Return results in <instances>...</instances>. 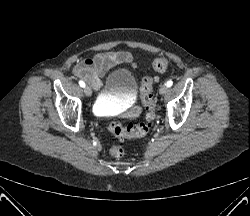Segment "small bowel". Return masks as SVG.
Wrapping results in <instances>:
<instances>
[{
    "mask_svg": "<svg viewBox=\"0 0 250 216\" xmlns=\"http://www.w3.org/2000/svg\"><path fill=\"white\" fill-rule=\"evenodd\" d=\"M130 64L133 68L136 63L133 57L125 51H110L86 58L74 67L75 76L85 80L93 89L102 87L101 77L117 65Z\"/></svg>",
    "mask_w": 250,
    "mask_h": 216,
    "instance_id": "1",
    "label": "small bowel"
}]
</instances>
